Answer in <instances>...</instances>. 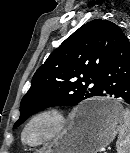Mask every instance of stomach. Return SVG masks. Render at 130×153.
<instances>
[{
    "instance_id": "obj_1",
    "label": "stomach",
    "mask_w": 130,
    "mask_h": 153,
    "mask_svg": "<svg viewBox=\"0 0 130 153\" xmlns=\"http://www.w3.org/2000/svg\"><path fill=\"white\" fill-rule=\"evenodd\" d=\"M93 109L95 115L80 120L78 114ZM123 107L114 98L87 102L75 113L71 125L43 153H97L109 145L123 123Z\"/></svg>"
}]
</instances>
